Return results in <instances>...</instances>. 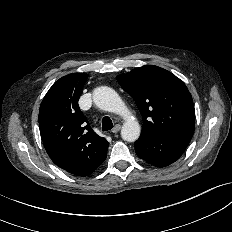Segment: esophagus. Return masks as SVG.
I'll return each mask as SVG.
<instances>
[{
	"mask_svg": "<svg viewBox=\"0 0 232 232\" xmlns=\"http://www.w3.org/2000/svg\"><path fill=\"white\" fill-rule=\"evenodd\" d=\"M120 129H121V125L120 124H116L114 126V128L111 130V132L112 133H118Z\"/></svg>",
	"mask_w": 232,
	"mask_h": 232,
	"instance_id": "1",
	"label": "esophagus"
}]
</instances>
